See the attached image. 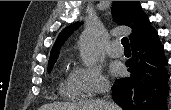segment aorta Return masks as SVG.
I'll use <instances>...</instances> for the list:
<instances>
[{
  "label": "aorta",
  "mask_w": 171,
  "mask_h": 110,
  "mask_svg": "<svg viewBox=\"0 0 171 110\" xmlns=\"http://www.w3.org/2000/svg\"><path fill=\"white\" fill-rule=\"evenodd\" d=\"M79 51L82 62L93 65L99 57V35L95 31H86L80 38Z\"/></svg>",
  "instance_id": "aorta-1"
}]
</instances>
